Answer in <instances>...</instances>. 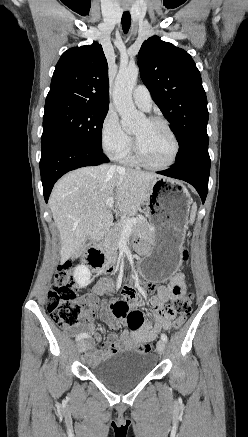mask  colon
I'll return each mask as SVG.
<instances>
[{
  "label": "colon",
  "instance_id": "obj_1",
  "mask_svg": "<svg viewBox=\"0 0 248 437\" xmlns=\"http://www.w3.org/2000/svg\"><path fill=\"white\" fill-rule=\"evenodd\" d=\"M183 259H188V252H183ZM98 275L108 277L111 270L104 267L103 258H99L90 263ZM141 289L151 294L154 286L144 285L138 282ZM79 287L74 276V268L70 262L59 266L53 281L51 290L48 293L47 310L51 319L61 328H74L86 317L85 303L78 297ZM192 309V295L179 296L168 312L175 314L173 321L174 329H179L185 322L187 315ZM138 349L143 353L152 351V345L142 343Z\"/></svg>",
  "mask_w": 248,
  "mask_h": 437
}]
</instances>
